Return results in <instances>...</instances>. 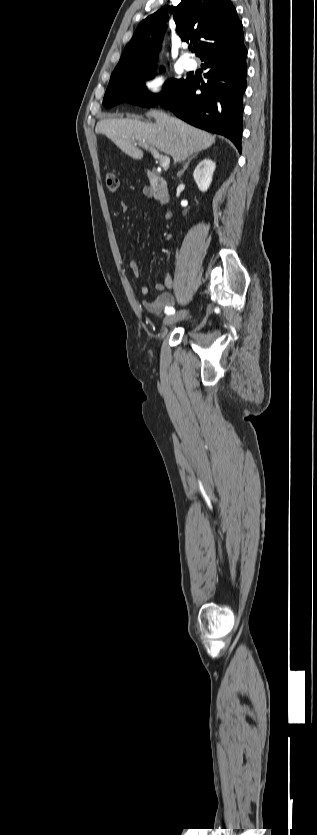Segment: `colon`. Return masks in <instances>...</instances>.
Instances as JSON below:
<instances>
[{
  "mask_svg": "<svg viewBox=\"0 0 317 835\" xmlns=\"http://www.w3.org/2000/svg\"><path fill=\"white\" fill-rule=\"evenodd\" d=\"M106 186L110 191H115L118 188L119 180L116 174L108 173L105 178Z\"/></svg>",
  "mask_w": 317,
  "mask_h": 835,
  "instance_id": "1",
  "label": "colon"
}]
</instances>
